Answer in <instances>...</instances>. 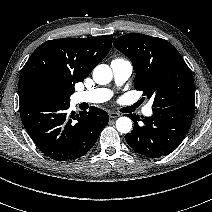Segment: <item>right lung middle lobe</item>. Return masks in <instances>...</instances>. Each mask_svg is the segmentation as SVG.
Returning a JSON list of instances; mask_svg holds the SVG:
<instances>
[{"label": "right lung middle lobe", "instance_id": "1", "mask_svg": "<svg viewBox=\"0 0 212 212\" xmlns=\"http://www.w3.org/2000/svg\"><path fill=\"white\" fill-rule=\"evenodd\" d=\"M39 101H61L69 103V98H63L55 95L48 88H39L35 90L31 97V102H39Z\"/></svg>", "mask_w": 212, "mask_h": 212}]
</instances>
